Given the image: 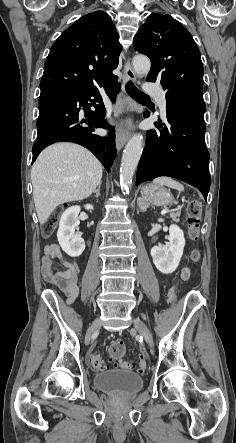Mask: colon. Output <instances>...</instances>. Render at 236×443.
Returning <instances> with one entry per match:
<instances>
[{
  "label": "colon",
  "mask_w": 236,
  "mask_h": 443,
  "mask_svg": "<svg viewBox=\"0 0 236 443\" xmlns=\"http://www.w3.org/2000/svg\"><path fill=\"white\" fill-rule=\"evenodd\" d=\"M202 212V205L198 200H191L187 206V223L188 232L191 240L196 241L200 236V217ZM58 224V215L52 214L42 226V234L45 237H49L55 231ZM201 254L197 248H194L190 253V259L193 263H198L200 261ZM169 297L171 301L175 300V288H171L169 292ZM109 356L112 360V364L115 367H121L124 369H131L134 366L133 361L124 360L123 357L126 353V343L123 340H115L109 346ZM92 366L97 370H104L107 365L103 357L99 354H95L91 358ZM140 371H145L147 369V364L144 360L139 363Z\"/></svg>",
  "instance_id": "colon-1"
}]
</instances>
